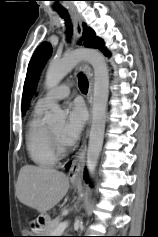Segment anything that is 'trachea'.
I'll return each mask as SVG.
<instances>
[{
    "mask_svg": "<svg viewBox=\"0 0 158 237\" xmlns=\"http://www.w3.org/2000/svg\"><path fill=\"white\" fill-rule=\"evenodd\" d=\"M57 11L60 14V16L65 19L67 28H68V35H70L71 34V24L69 21V16H68L67 11L65 9H59ZM88 85L89 84H88V80L86 79V77L84 75H79V88L83 93H86L88 91Z\"/></svg>",
    "mask_w": 158,
    "mask_h": 237,
    "instance_id": "3493384b",
    "label": "trachea"
}]
</instances>
